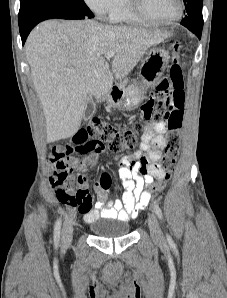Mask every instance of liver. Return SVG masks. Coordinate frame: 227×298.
<instances>
[{
	"instance_id": "liver-1",
	"label": "liver",
	"mask_w": 227,
	"mask_h": 298,
	"mask_svg": "<svg viewBox=\"0 0 227 298\" xmlns=\"http://www.w3.org/2000/svg\"><path fill=\"white\" fill-rule=\"evenodd\" d=\"M169 33L95 20H47L27 38L25 54L46 120L47 143L79 130L87 96L103 99L117 79L126 77L144 53ZM114 51L111 63L103 57Z\"/></svg>"
}]
</instances>
